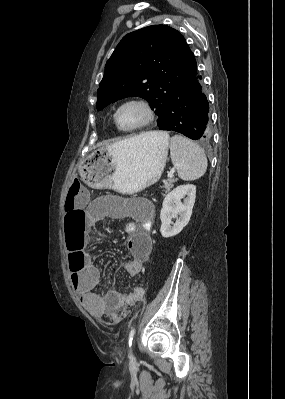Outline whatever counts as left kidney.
Wrapping results in <instances>:
<instances>
[{
    "label": "left kidney",
    "mask_w": 285,
    "mask_h": 399,
    "mask_svg": "<svg viewBox=\"0 0 285 399\" xmlns=\"http://www.w3.org/2000/svg\"><path fill=\"white\" fill-rule=\"evenodd\" d=\"M195 198L196 186L192 184L180 185L166 195L160 212V232L164 238L179 234L188 224ZM181 199H184L183 203ZM172 219H176L175 223L172 222Z\"/></svg>",
    "instance_id": "1"
}]
</instances>
